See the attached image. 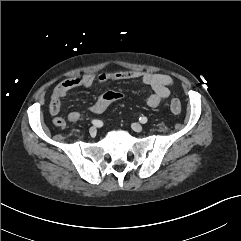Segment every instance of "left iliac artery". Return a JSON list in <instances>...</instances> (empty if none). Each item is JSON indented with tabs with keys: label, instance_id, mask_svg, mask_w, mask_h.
<instances>
[{
	"label": "left iliac artery",
	"instance_id": "left-iliac-artery-1",
	"mask_svg": "<svg viewBox=\"0 0 241 241\" xmlns=\"http://www.w3.org/2000/svg\"><path fill=\"white\" fill-rule=\"evenodd\" d=\"M139 121H140L142 124H145V123H147L148 119H147V117L142 116V117L139 118Z\"/></svg>",
	"mask_w": 241,
	"mask_h": 241
}]
</instances>
